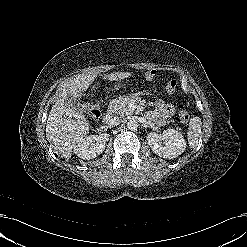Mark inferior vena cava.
Instances as JSON below:
<instances>
[{"mask_svg":"<svg viewBox=\"0 0 247 247\" xmlns=\"http://www.w3.org/2000/svg\"><path fill=\"white\" fill-rule=\"evenodd\" d=\"M122 122V119L119 117H109L107 120V124L109 127H115Z\"/></svg>","mask_w":247,"mask_h":247,"instance_id":"obj_1","label":"inferior vena cava"}]
</instances>
